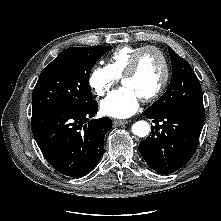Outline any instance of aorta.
<instances>
[{
    "label": "aorta",
    "mask_w": 221,
    "mask_h": 221,
    "mask_svg": "<svg viewBox=\"0 0 221 221\" xmlns=\"http://www.w3.org/2000/svg\"><path fill=\"white\" fill-rule=\"evenodd\" d=\"M132 132L138 137H145L150 132V125L146 121H137L132 126Z\"/></svg>",
    "instance_id": "1"
}]
</instances>
